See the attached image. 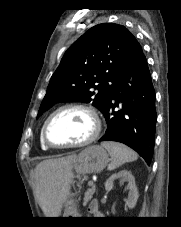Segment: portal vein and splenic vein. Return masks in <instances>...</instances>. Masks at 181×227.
<instances>
[{
	"instance_id": "18ae733b",
	"label": "portal vein and splenic vein",
	"mask_w": 181,
	"mask_h": 227,
	"mask_svg": "<svg viewBox=\"0 0 181 227\" xmlns=\"http://www.w3.org/2000/svg\"><path fill=\"white\" fill-rule=\"evenodd\" d=\"M89 185L92 187V186H95L94 182L93 181H89Z\"/></svg>"
}]
</instances>
